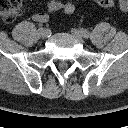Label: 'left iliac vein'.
<instances>
[{
	"label": "left iliac vein",
	"instance_id": "left-iliac-vein-1",
	"mask_svg": "<svg viewBox=\"0 0 128 128\" xmlns=\"http://www.w3.org/2000/svg\"><path fill=\"white\" fill-rule=\"evenodd\" d=\"M71 32L79 41L84 42V37H83L82 33L79 30L72 29Z\"/></svg>",
	"mask_w": 128,
	"mask_h": 128
}]
</instances>
